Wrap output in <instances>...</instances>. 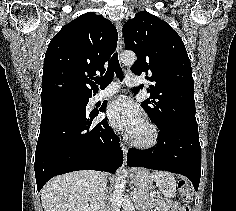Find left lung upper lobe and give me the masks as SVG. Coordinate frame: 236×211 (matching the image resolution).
Instances as JSON below:
<instances>
[{
    "label": "left lung upper lobe",
    "mask_w": 236,
    "mask_h": 211,
    "mask_svg": "<svg viewBox=\"0 0 236 211\" xmlns=\"http://www.w3.org/2000/svg\"><path fill=\"white\" fill-rule=\"evenodd\" d=\"M123 34L127 49L137 55L131 71L152 82L142 103L151 120L160 129H198L191 63L177 32L143 11L126 22Z\"/></svg>",
    "instance_id": "obj_1"
}]
</instances>
